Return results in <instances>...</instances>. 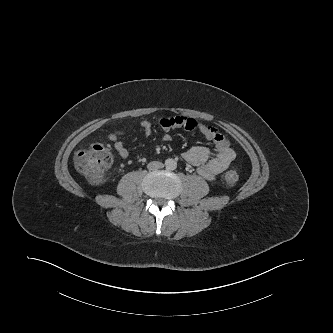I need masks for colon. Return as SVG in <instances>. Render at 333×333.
<instances>
[{
	"instance_id": "5ec220e1",
	"label": "colon",
	"mask_w": 333,
	"mask_h": 333,
	"mask_svg": "<svg viewBox=\"0 0 333 333\" xmlns=\"http://www.w3.org/2000/svg\"><path fill=\"white\" fill-rule=\"evenodd\" d=\"M75 167L89 182L101 183L111 164L112 156L109 150L102 144H94L90 148L80 151L74 158ZM239 180L236 168L229 169L224 176L227 186H234Z\"/></svg>"
}]
</instances>
